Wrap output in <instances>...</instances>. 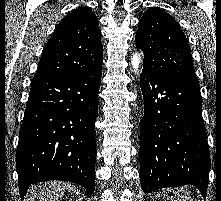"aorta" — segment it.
I'll return each instance as SVG.
<instances>
[{"label": "aorta", "mask_w": 221, "mask_h": 201, "mask_svg": "<svg viewBox=\"0 0 221 201\" xmlns=\"http://www.w3.org/2000/svg\"><path fill=\"white\" fill-rule=\"evenodd\" d=\"M131 64L134 71L137 72L141 64L140 55L138 53L133 54Z\"/></svg>", "instance_id": "obj_1"}]
</instances>
